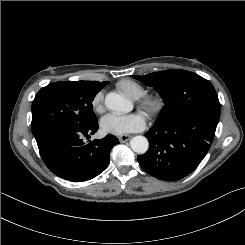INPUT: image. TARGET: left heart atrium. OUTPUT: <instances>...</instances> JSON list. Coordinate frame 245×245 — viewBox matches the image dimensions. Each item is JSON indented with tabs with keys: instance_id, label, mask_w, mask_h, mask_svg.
Instances as JSON below:
<instances>
[{
	"instance_id": "obj_1",
	"label": "left heart atrium",
	"mask_w": 245,
	"mask_h": 245,
	"mask_svg": "<svg viewBox=\"0 0 245 245\" xmlns=\"http://www.w3.org/2000/svg\"><path fill=\"white\" fill-rule=\"evenodd\" d=\"M145 119L139 113L130 114H107L100 121V127L103 132L112 135H125L130 132H136L143 129Z\"/></svg>"
}]
</instances>
